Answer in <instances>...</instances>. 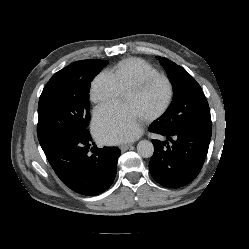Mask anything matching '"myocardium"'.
<instances>
[{
	"instance_id": "obj_1",
	"label": "myocardium",
	"mask_w": 249,
	"mask_h": 249,
	"mask_svg": "<svg viewBox=\"0 0 249 249\" xmlns=\"http://www.w3.org/2000/svg\"><path fill=\"white\" fill-rule=\"evenodd\" d=\"M156 81H164L166 83V85L168 87V96H167V100H166L165 104L157 112H155L154 114H152L144 119L146 122H151V121L159 119L170 109V107L173 103L174 94H175L174 85H173L172 81L170 80V78L165 76V75H161V74L147 76V77L141 79L140 81L136 82L135 84L131 85L125 91V93H127V92L138 93V92L143 91L150 84H152Z\"/></svg>"
}]
</instances>
